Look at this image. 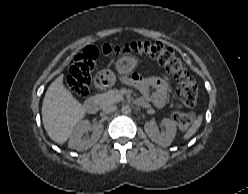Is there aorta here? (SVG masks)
<instances>
[{"mask_svg":"<svg viewBox=\"0 0 248 194\" xmlns=\"http://www.w3.org/2000/svg\"><path fill=\"white\" fill-rule=\"evenodd\" d=\"M122 114L128 115L131 113V108L129 105H123L121 108Z\"/></svg>","mask_w":248,"mask_h":194,"instance_id":"aorta-1","label":"aorta"}]
</instances>
